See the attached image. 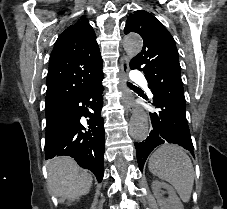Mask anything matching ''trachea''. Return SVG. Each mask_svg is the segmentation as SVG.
I'll list each match as a JSON object with an SVG mask.
<instances>
[{
    "instance_id": "trachea-1",
    "label": "trachea",
    "mask_w": 227,
    "mask_h": 209,
    "mask_svg": "<svg viewBox=\"0 0 227 209\" xmlns=\"http://www.w3.org/2000/svg\"><path fill=\"white\" fill-rule=\"evenodd\" d=\"M129 86H131V87H135V86H133V84H131V83H127Z\"/></svg>"
}]
</instances>
